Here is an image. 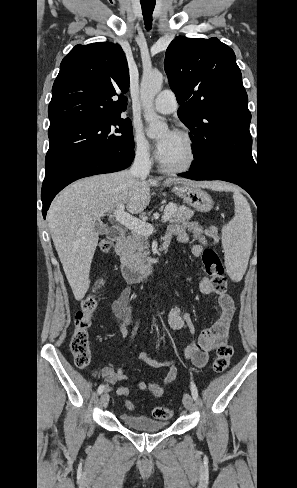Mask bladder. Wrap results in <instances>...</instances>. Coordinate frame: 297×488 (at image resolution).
Instances as JSON below:
<instances>
[{
  "label": "bladder",
  "instance_id": "1",
  "mask_svg": "<svg viewBox=\"0 0 297 488\" xmlns=\"http://www.w3.org/2000/svg\"><path fill=\"white\" fill-rule=\"evenodd\" d=\"M120 420L126 427L141 432H156L164 429L167 426V422L165 421L155 420L143 415H132L129 413H122L120 415Z\"/></svg>",
  "mask_w": 297,
  "mask_h": 488
}]
</instances>
